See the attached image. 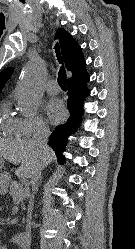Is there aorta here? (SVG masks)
Instances as JSON below:
<instances>
[{
	"label": "aorta",
	"instance_id": "762f6f07",
	"mask_svg": "<svg viewBox=\"0 0 135 249\" xmlns=\"http://www.w3.org/2000/svg\"><path fill=\"white\" fill-rule=\"evenodd\" d=\"M46 73V65L42 60H34L25 67L16 92L17 103L24 113L37 112L42 100V83Z\"/></svg>",
	"mask_w": 135,
	"mask_h": 249
}]
</instances>
